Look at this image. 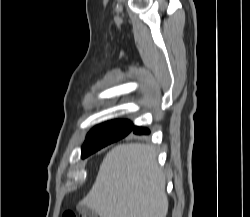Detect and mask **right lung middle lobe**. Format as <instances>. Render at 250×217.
<instances>
[{
  "instance_id": "1",
  "label": "right lung middle lobe",
  "mask_w": 250,
  "mask_h": 217,
  "mask_svg": "<svg viewBox=\"0 0 250 217\" xmlns=\"http://www.w3.org/2000/svg\"><path fill=\"white\" fill-rule=\"evenodd\" d=\"M134 125L128 120H112L94 127L82 146V158L116 142L132 132Z\"/></svg>"
}]
</instances>
